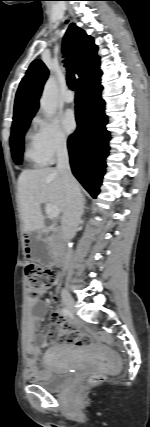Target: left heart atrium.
I'll list each match as a JSON object with an SVG mask.
<instances>
[{"instance_id": "left-heart-atrium-1", "label": "left heart atrium", "mask_w": 150, "mask_h": 427, "mask_svg": "<svg viewBox=\"0 0 150 427\" xmlns=\"http://www.w3.org/2000/svg\"><path fill=\"white\" fill-rule=\"evenodd\" d=\"M62 125L67 133H72L76 129V118L71 110H67L62 116Z\"/></svg>"}]
</instances>
